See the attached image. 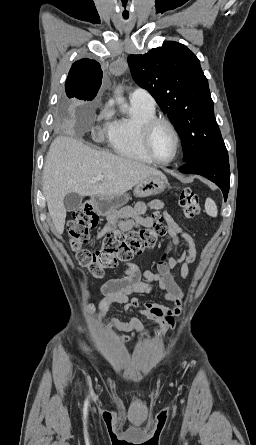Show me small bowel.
<instances>
[{
    "mask_svg": "<svg viewBox=\"0 0 256 445\" xmlns=\"http://www.w3.org/2000/svg\"><path fill=\"white\" fill-rule=\"evenodd\" d=\"M164 204L160 200H153L149 203H138L130 218L119 223H108L95 237L100 240L106 233L118 229L128 231L133 226H150L153 223L151 217H141L147 209H163ZM168 240L166 247L157 262V272L147 271L141 276L138 267L127 262V269L121 277L110 279L102 285V292L105 299L101 304L102 318L109 306L113 303L123 305V309L128 314L140 313L151 321L160 325L163 329L173 326L175 319L182 309L183 291L176 283L172 269L176 265H181L180 276L186 280L189 276V268L195 262L198 254V243L194 236L186 229L179 226L171 218L167 217ZM183 240L187 243L188 249L177 255H172L174 249ZM154 294L162 295L166 300L172 301L173 308L153 303H141L138 297L133 295ZM111 326L118 331L131 332V336H122V343H129L134 339H142L147 334L144 331L143 323L138 318H131L128 321L118 319L110 320Z\"/></svg>",
    "mask_w": 256,
    "mask_h": 445,
    "instance_id": "c3829d8e",
    "label": "small bowel"
}]
</instances>
